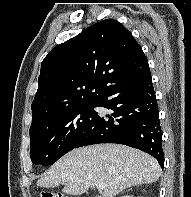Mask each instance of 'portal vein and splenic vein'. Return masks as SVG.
Returning a JSON list of instances; mask_svg holds the SVG:
<instances>
[{
  "mask_svg": "<svg viewBox=\"0 0 191 197\" xmlns=\"http://www.w3.org/2000/svg\"><path fill=\"white\" fill-rule=\"evenodd\" d=\"M96 187H97L98 190H103L105 188V184L99 182V183L96 184Z\"/></svg>",
  "mask_w": 191,
  "mask_h": 197,
  "instance_id": "1",
  "label": "portal vein and splenic vein"
}]
</instances>
